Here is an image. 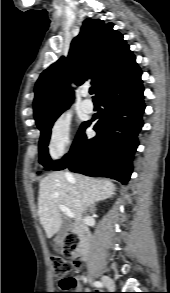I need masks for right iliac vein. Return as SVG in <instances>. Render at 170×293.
Listing matches in <instances>:
<instances>
[{
	"instance_id": "63e3f726",
	"label": "right iliac vein",
	"mask_w": 170,
	"mask_h": 293,
	"mask_svg": "<svg viewBox=\"0 0 170 293\" xmlns=\"http://www.w3.org/2000/svg\"><path fill=\"white\" fill-rule=\"evenodd\" d=\"M102 281L109 290H113L115 288L114 282L108 276H102Z\"/></svg>"
}]
</instances>
